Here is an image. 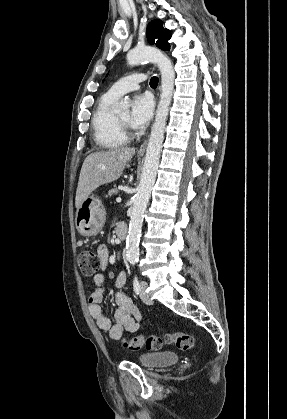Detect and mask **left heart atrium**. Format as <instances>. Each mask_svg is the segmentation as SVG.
I'll use <instances>...</instances> for the list:
<instances>
[{
	"instance_id": "39dd6f15",
	"label": "left heart atrium",
	"mask_w": 287,
	"mask_h": 419,
	"mask_svg": "<svg viewBox=\"0 0 287 419\" xmlns=\"http://www.w3.org/2000/svg\"><path fill=\"white\" fill-rule=\"evenodd\" d=\"M154 111V101L150 94L136 95L131 104L129 125L134 129H143L151 119Z\"/></svg>"
}]
</instances>
